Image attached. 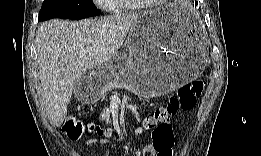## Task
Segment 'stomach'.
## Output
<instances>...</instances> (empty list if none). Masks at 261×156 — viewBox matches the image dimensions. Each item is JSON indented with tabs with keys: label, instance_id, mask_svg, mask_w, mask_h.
I'll return each instance as SVG.
<instances>
[{
	"label": "stomach",
	"instance_id": "stomach-1",
	"mask_svg": "<svg viewBox=\"0 0 261 156\" xmlns=\"http://www.w3.org/2000/svg\"><path fill=\"white\" fill-rule=\"evenodd\" d=\"M129 54L86 71L90 99L113 87L149 98L173 91L200 75L208 60L204 37L186 5L171 3L142 14L127 39Z\"/></svg>",
	"mask_w": 261,
	"mask_h": 156
}]
</instances>
